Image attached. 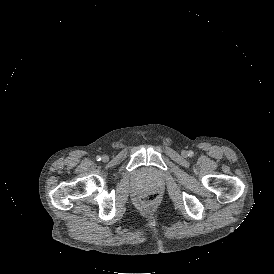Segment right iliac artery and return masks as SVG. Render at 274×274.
<instances>
[{"label":"right iliac artery","mask_w":274,"mask_h":274,"mask_svg":"<svg viewBox=\"0 0 274 274\" xmlns=\"http://www.w3.org/2000/svg\"><path fill=\"white\" fill-rule=\"evenodd\" d=\"M96 159H97V161H100V160H101V157H100V156H97Z\"/></svg>","instance_id":"1"}]
</instances>
